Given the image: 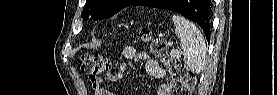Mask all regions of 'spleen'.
Here are the masks:
<instances>
[{
    "label": "spleen",
    "mask_w": 277,
    "mask_h": 95,
    "mask_svg": "<svg viewBox=\"0 0 277 95\" xmlns=\"http://www.w3.org/2000/svg\"><path fill=\"white\" fill-rule=\"evenodd\" d=\"M172 20L184 52V62L192 72H201L205 67L206 45L200 30L182 16L173 15Z\"/></svg>",
    "instance_id": "3e777b00"
}]
</instances>
